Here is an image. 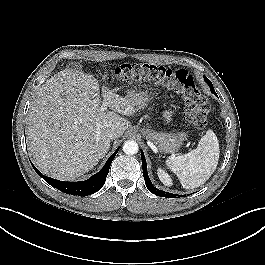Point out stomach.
<instances>
[{
	"label": "stomach",
	"mask_w": 265,
	"mask_h": 265,
	"mask_svg": "<svg viewBox=\"0 0 265 265\" xmlns=\"http://www.w3.org/2000/svg\"><path fill=\"white\" fill-rule=\"evenodd\" d=\"M138 106H143L148 101L146 92L136 93L131 96ZM142 134L149 140H152L161 153L177 152L181 144L188 139L185 132L166 133L157 132L152 129H143Z\"/></svg>",
	"instance_id": "stomach-1"
}]
</instances>
